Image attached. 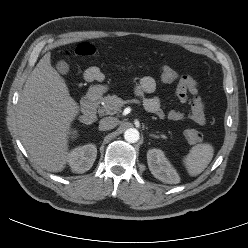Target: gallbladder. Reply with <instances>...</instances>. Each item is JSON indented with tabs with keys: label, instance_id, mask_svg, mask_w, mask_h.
Listing matches in <instances>:
<instances>
[{
	"label": "gallbladder",
	"instance_id": "bac80fb5",
	"mask_svg": "<svg viewBox=\"0 0 248 248\" xmlns=\"http://www.w3.org/2000/svg\"><path fill=\"white\" fill-rule=\"evenodd\" d=\"M56 68H57L58 72H60L63 75H65L69 72V65L64 60L58 61L56 63Z\"/></svg>",
	"mask_w": 248,
	"mask_h": 248
}]
</instances>
